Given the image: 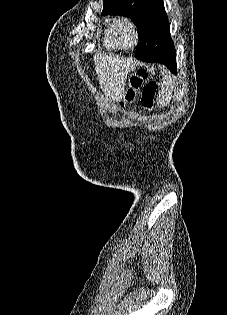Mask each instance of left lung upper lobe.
<instances>
[{
  "instance_id": "5c2ea615",
  "label": "left lung upper lobe",
  "mask_w": 227,
  "mask_h": 315,
  "mask_svg": "<svg viewBox=\"0 0 227 315\" xmlns=\"http://www.w3.org/2000/svg\"><path fill=\"white\" fill-rule=\"evenodd\" d=\"M102 14L131 18L138 28L140 41L154 38L159 48L175 53L162 0H104Z\"/></svg>"
}]
</instances>
